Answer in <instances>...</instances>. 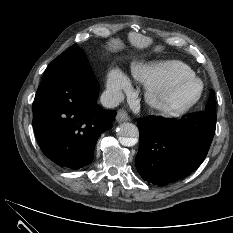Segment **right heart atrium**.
I'll return each instance as SVG.
<instances>
[{
    "label": "right heart atrium",
    "instance_id": "right-heart-atrium-1",
    "mask_svg": "<svg viewBox=\"0 0 233 233\" xmlns=\"http://www.w3.org/2000/svg\"><path fill=\"white\" fill-rule=\"evenodd\" d=\"M107 91L110 96L117 100L123 92L131 90V85L127 77L118 69L109 72L106 80Z\"/></svg>",
    "mask_w": 233,
    "mask_h": 233
}]
</instances>
